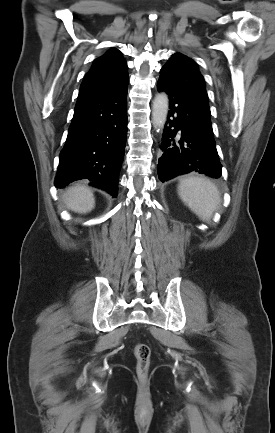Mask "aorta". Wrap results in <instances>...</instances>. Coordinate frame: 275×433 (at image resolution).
Listing matches in <instances>:
<instances>
[{
	"instance_id": "aorta-1",
	"label": "aorta",
	"mask_w": 275,
	"mask_h": 433,
	"mask_svg": "<svg viewBox=\"0 0 275 433\" xmlns=\"http://www.w3.org/2000/svg\"><path fill=\"white\" fill-rule=\"evenodd\" d=\"M169 109L168 95L164 92L158 93L155 96L152 105V120L156 129H163L166 123Z\"/></svg>"
}]
</instances>
